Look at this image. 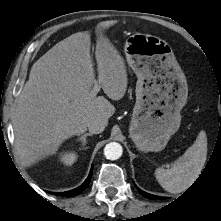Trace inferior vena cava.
I'll list each match as a JSON object with an SVG mask.
<instances>
[{
    "label": "inferior vena cava",
    "mask_w": 221,
    "mask_h": 221,
    "mask_svg": "<svg viewBox=\"0 0 221 221\" xmlns=\"http://www.w3.org/2000/svg\"><path fill=\"white\" fill-rule=\"evenodd\" d=\"M105 123L99 120H93L88 124V130L92 134H99L104 131Z\"/></svg>",
    "instance_id": "obj_1"
}]
</instances>
